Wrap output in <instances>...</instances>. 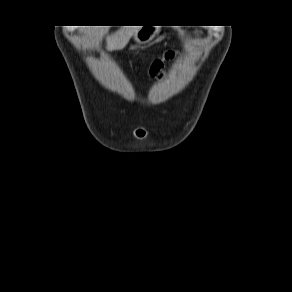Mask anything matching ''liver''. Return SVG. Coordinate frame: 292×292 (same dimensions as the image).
Wrapping results in <instances>:
<instances>
[{"mask_svg":"<svg viewBox=\"0 0 292 292\" xmlns=\"http://www.w3.org/2000/svg\"><path fill=\"white\" fill-rule=\"evenodd\" d=\"M136 32L137 30L135 29H121L113 37L110 38L109 48L116 49L122 46L129 39V37L133 36Z\"/></svg>","mask_w":292,"mask_h":292,"instance_id":"obj_1","label":"liver"}]
</instances>
